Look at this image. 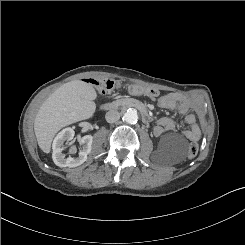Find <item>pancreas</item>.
Returning a JSON list of instances; mask_svg holds the SVG:
<instances>
[{"mask_svg":"<svg viewBox=\"0 0 245 245\" xmlns=\"http://www.w3.org/2000/svg\"><path fill=\"white\" fill-rule=\"evenodd\" d=\"M137 102L136 100L134 99H131V98H125V99H120V100H117L115 101L113 104L114 105H118V106H132L134 105V103Z\"/></svg>","mask_w":245,"mask_h":245,"instance_id":"pancreas-1","label":"pancreas"}]
</instances>
